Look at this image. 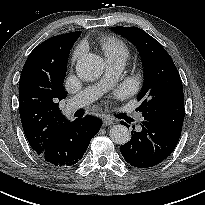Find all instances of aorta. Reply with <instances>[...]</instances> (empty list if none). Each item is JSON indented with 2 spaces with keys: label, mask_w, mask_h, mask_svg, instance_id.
<instances>
[{
  "label": "aorta",
  "mask_w": 205,
  "mask_h": 205,
  "mask_svg": "<svg viewBox=\"0 0 205 205\" xmlns=\"http://www.w3.org/2000/svg\"><path fill=\"white\" fill-rule=\"evenodd\" d=\"M104 69L103 59L92 53L80 57L76 63V72L80 79L84 81H94L98 79ZM111 140L119 145L127 143L130 139V132L124 125H114L109 132Z\"/></svg>",
  "instance_id": "obj_1"
}]
</instances>
